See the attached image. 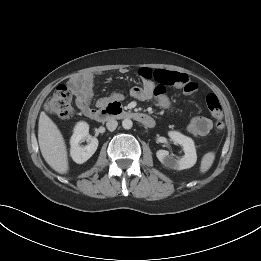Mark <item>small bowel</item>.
Segmentation results:
<instances>
[{"label": "small bowel", "mask_w": 261, "mask_h": 261, "mask_svg": "<svg viewBox=\"0 0 261 261\" xmlns=\"http://www.w3.org/2000/svg\"><path fill=\"white\" fill-rule=\"evenodd\" d=\"M139 74L142 84L132 88L131 96L141 101L155 97L163 107H168L170 105L169 100L165 95L164 86L181 88L186 94H192L198 89L197 83L183 73L167 70H156L151 72L148 69H141ZM95 75L96 74L93 72H86L69 81L70 90L75 96V103L86 116L93 110L90 107V103L94 93L93 82ZM153 79L158 84H156ZM121 98V95H115V99L120 100ZM103 101L104 99L101 100V102ZM211 129L212 123L205 117H195L188 125V131L196 137L207 135Z\"/></svg>", "instance_id": "1"}]
</instances>
